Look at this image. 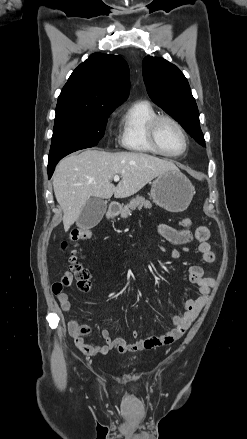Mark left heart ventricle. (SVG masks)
<instances>
[{"mask_svg":"<svg viewBox=\"0 0 247 439\" xmlns=\"http://www.w3.org/2000/svg\"><path fill=\"white\" fill-rule=\"evenodd\" d=\"M157 139L161 148L168 153H178L184 146L180 132L168 121L160 123L157 130Z\"/></svg>","mask_w":247,"mask_h":439,"instance_id":"1","label":"left heart ventricle"}]
</instances>
